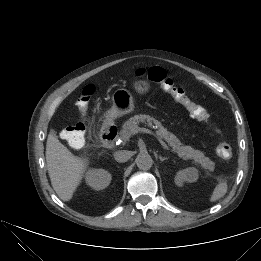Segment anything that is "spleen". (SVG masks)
I'll use <instances>...</instances> for the list:
<instances>
[{"mask_svg": "<svg viewBox=\"0 0 261 261\" xmlns=\"http://www.w3.org/2000/svg\"><path fill=\"white\" fill-rule=\"evenodd\" d=\"M228 190V185L227 182L222 180L220 181L214 188L211 197H210V202H216L219 201L220 199H222Z\"/></svg>", "mask_w": 261, "mask_h": 261, "instance_id": "obj_1", "label": "spleen"}]
</instances>
